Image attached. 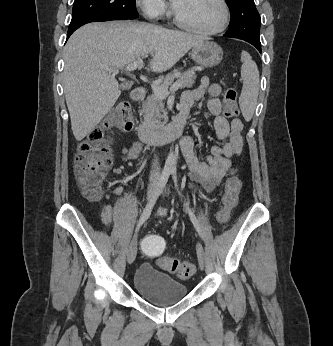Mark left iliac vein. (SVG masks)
I'll return each instance as SVG.
<instances>
[{"instance_id":"1","label":"left iliac vein","mask_w":333,"mask_h":346,"mask_svg":"<svg viewBox=\"0 0 333 346\" xmlns=\"http://www.w3.org/2000/svg\"><path fill=\"white\" fill-rule=\"evenodd\" d=\"M168 192V189L166 190ZM196 252H197V258H198V263L201 267V269H204L205 267V252L200 243L196 244Z\"/></svg>"}]
</instances>
